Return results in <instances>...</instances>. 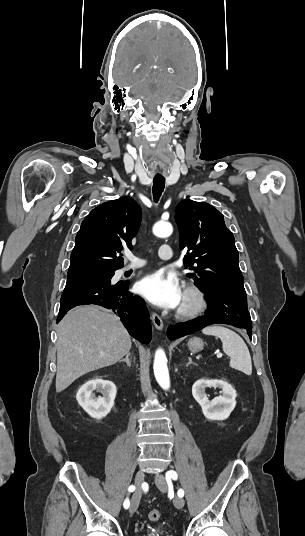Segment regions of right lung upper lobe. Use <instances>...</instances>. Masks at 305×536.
I'll use <instances>...</instances> for the list:
<instances>
[{
    "mask_svg": "<svg viewBox=\"0 0 305 536\" xmlns=\"http://www.w3.org/2000/svg\"><path fill=\"white\" fill-rule=\"evenodd\" d=\"M141 216L140 206L128 196L93 209L76 235L67 278L122 268L123 258L117 255L133 248Z\"/></svg>",
    "mask_w": 305,
    "mask_h": 536,
    "instance_id": "1",
    "label": "right lung upper lobe"
}]
</instances>
